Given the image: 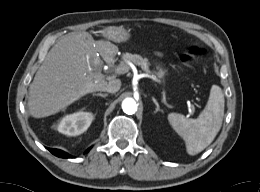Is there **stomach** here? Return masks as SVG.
Here are the masks:
<instances>
[{"label":"stomach","instance_id":"0dacf381","mask_svg":"<svg viewBox=\"0 0 260 192\" xmlns=\"http://www.w3.org/2000/svg\"><path fill=\"white\" fill-rule=\"evenodd\" d=\"M129 38H130V34L124 28L116 27L111 31V39L114 42H118V43L125 42L129 40ZM156 69H157L156 72L157 77L164 81L167 76V70L163 68L160 64L157 65Z\"/></svg>","mask_w":260,"mask_h":192}]
</instances>
